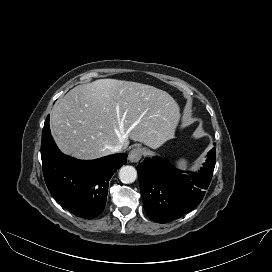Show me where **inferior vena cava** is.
<instances>
[{
  "mask_svg": "<svg viewBox=\"0 0 272 272\" xmlns=\"http://www.w3.org/2000/svg\"><path fill=\"white\" fill-rule=\"evenodd\" d=\"M121 149H122V145L121 144L109 147V150L111 151V153H117V152L121 151Z\"/></svg>",
  "mask_w": 272,
  "mask_h": 272,
  "instance_id": "602c4592",
  "label": "inferior vena cava"
}]
</instances>
